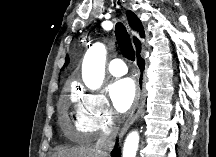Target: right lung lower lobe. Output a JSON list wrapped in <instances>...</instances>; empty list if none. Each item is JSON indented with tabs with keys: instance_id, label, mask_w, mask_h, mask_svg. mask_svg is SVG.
<instances>
[{
	"instance_id": "98d812e1",
	"label": "right lung lower lobe",
	"mask_w": 216,
	"mask_h": 157,
	"mask_svg": "<svg viewBox=\"0 0 216 157\" xmlns=\"http://www.w3.org/2000/svg\"><path fill=\"white\" fill-rule=\"evenodd\" d=\"M111 156L112 157H121V154H120V149H118V143H116L112 153H111Z\"/></svg>"
}]
</instances>
